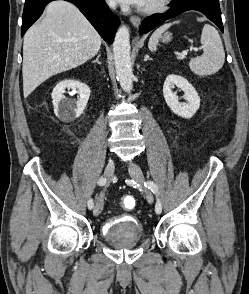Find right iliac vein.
<instances>
[{"label": "right iliac vein", "mask_w": 249, "mask_h": 294, "mask_svg": "<svg viewBox=\"0 0 249 294\" xmlns=\"http://www.w3.org/2000/svg\"><path fill=\"white\" fill-rule=\"evenodd\" d=\"M115 164L113 160H110L104 170V177L109 182L114 174ZM104 206V198L103 195H100L96 201L95 208H94V215L98 216L103 210Z\"/></svg>", "instance_id": "obj_1"}]
</instances>
